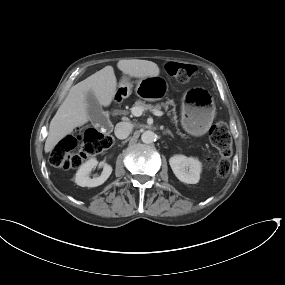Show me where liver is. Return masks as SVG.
<instances>
[{"label": "liver", "mask_w": 285, "mask_h": 285, "mask_svg": "<svg viewBox=\"0 0 285 285\" xmlns=\"http://www.w3.org/2000/svg\"><path fill=\"white\" fill-rule=\"evenodd\" d=\"M117 67L123 74L135 78L156 77L160 72L156 63L147 60H119ZM116 89L112 66H106L74 85L50 122L45 152H51L58 142L90 120L86 101L88 92H93L99 104L107 107L112 103Z\"/></svg>", "instance_id": "6515ba94"}]
</instances>
